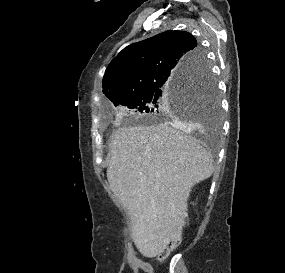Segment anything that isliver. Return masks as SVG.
<instances>
[{
  "label": "liver",
  "mask_w": 285,
  "mask_h": 273,
  "mask_svg": "<svg viewBox=\"0 0 285 273\" xmlns=\"http://www.w3.org/2000/svg\"><path fill=\"white\" fill-rule=\"evenodd\" d=\"M181 130L177 122L123 126L111 137L107 179L132 216L137 249L148 258L180 240L191 188L214 171L212 156Z\"/></svg>",
  "instance_id": "obj_1"
}]
</instances>
